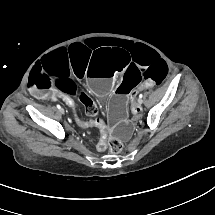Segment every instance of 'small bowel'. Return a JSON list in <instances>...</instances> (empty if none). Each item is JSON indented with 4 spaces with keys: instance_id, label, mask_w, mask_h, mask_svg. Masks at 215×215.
<instances>
[{
    "instance_id": "small-bowel-1",
    "label": "small bowel",
    "mask_w": 215,
    "mask_h": 215,
    "mask_svg": "<svg viewBox=\"0 0 215 215\" xmlns=\"http://www.w3.org/2000/svg\"><path fill=\"white\" fill-rule=\"evenodd\" d=\"M59 97L64 101V102H66L67 101V99L69 98L66 94H64V93H59ZM132 111H133V108H132ZM133 113H135L134 111H133ZM89 124V126H96V121H94V122H89L88 123ZM102 150V149H101Z\"/></svg>"
}]
</instances>
